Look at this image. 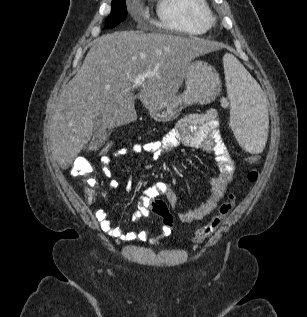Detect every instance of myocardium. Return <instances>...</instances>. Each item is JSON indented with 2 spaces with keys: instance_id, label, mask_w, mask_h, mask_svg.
Segmentation results:
<instances>
[{
  "instance_id": "1",
  "label": "myocardium",
  "mask_w": 307,
  "mask_h": 317,
  "mask_svg": "<svg viewBox=\"0 0 307 317\" xmlns=\"http://www.w3.org/2000/svg\"><path fill=\"white\" fill-rule=\"evenodd\" d=\"M216 22V17L209 11L207 15V23L209 26L214 25Z\"/></svg>"
}]
</instances>
